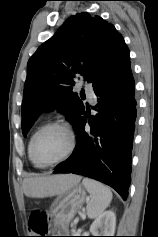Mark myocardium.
<instances>
[{
	"mask_svg": "<svg viewBox=\"0 0 158 237\" xmlns=\"http://www.w3.org/2000/svg\"><path fill=\"white\" fill-rule=\"evenodd\" d=\"M55 127L62 128L68 134V137H69L68 149L63 156H61L60 158H58L56 160H53L50 162H41L35 155L36 140L42 132H44L47 129L55 128ZM75 147H76V136H75L73 129L69 126V124H67L64 121H60V120L51 121V122H48V123L44 124L43 126H41L32 136L31 145H30V156H31L33 163L36 164L37 166H39L41 168L52 167V166H55L59 163L64 162L65 160H67L74 152Z\"/></svg>",
	"mask_w": 158,
	"mask_h": 237,
	"instance_id": "myocardium-1",
	"label": "myocardium"
}]
</instances>
